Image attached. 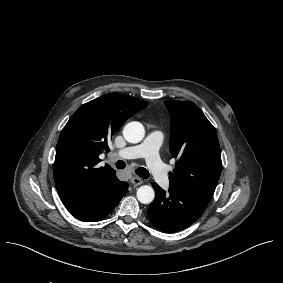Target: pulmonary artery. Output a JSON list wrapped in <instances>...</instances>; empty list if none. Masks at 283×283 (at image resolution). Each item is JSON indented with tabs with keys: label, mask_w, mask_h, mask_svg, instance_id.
Masks as SVG:
<instances>
[{
	"label": "pulmonary artery",
	"mask_w": 283,
	"mask_h": 283,
	"mask_svg": "<svg viewBox=\"0 0 283 283\" xmlns=\"http://www.w3.org/2000/svg\"><path fill=\"white\" fill-rule=\"evenodd\" d=\"M161 138L162 135L160 132L152 131L140 144L123 148L122 155L125 158H130L132 155H142L153 181L159 185L161 189L165 190L170 187L171 183L168 174L165 172L164 165L157 154L161 144Z\"/></svg>",
	"instance_id": "e3ab8cb5"
}]
</instances>
